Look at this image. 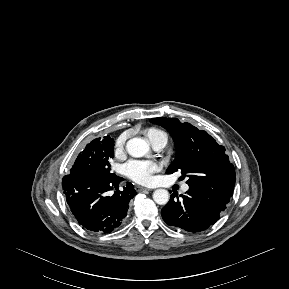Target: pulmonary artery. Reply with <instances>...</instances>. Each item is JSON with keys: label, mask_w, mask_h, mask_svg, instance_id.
<instances>
[{"label": "pulmonary artery", "mask_w": 289, "mask_h": 289, "mask_svg": "<svg viewBox=\"0 0 289 289\" xmlns=\"http://www.w3.org/2000/svg\"><path fill=\"white\" fill-rule=\"evenodd\" d=\"M150 141V144L152 146V148L155 150V151H160L162 150L166 144H167V136L165 135H158V136H155L153 137L152 139L149 140ZM189 189V186L187 184H183L182 185V191L183 192H186L188 191Z\"/></svg>", "instance_id": "e3ab8cb5"}]
</instances>
